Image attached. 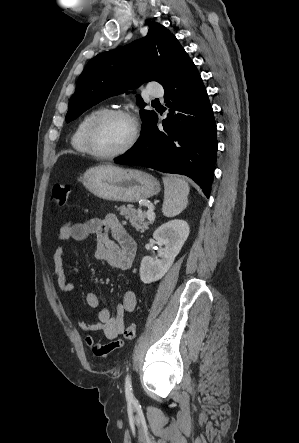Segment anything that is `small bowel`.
I'll return each instance as SVG.
<instances>
[{
  "instance_id": "small-bowel-1",
  "label": "small bowel",
  "mask_w": 299,
  "mask_h": 443,
  "mask_svg": "<svg viewBox=\"0 0 299 443\" xmlns=\"http://www.w3.org/2000/svg\"><path fill=\"white\" fill-rule=\"evenodd\" d=\"M57 239L61 242L93 239L94 258L121 270L130 269L136 255L134 240L113 214L84 223H66L59 229ZM53 262L60 289L66 293L73 292L74 286L64 273V247L62 245L56 248ZM86 303L90 308L97 309V322L93 324L79 322V326L88 333L85 342L92 353L97 357L106 358L123 346V341L118 337L124 331L126 314L133 312L136 308V294L132 290L125 291L114 316L107 307L100 306L99 296L94 292L86 294ZM97 332H102L109 342L106 344L97 342L93 336Z\"/></svg>"
}]
</instances>
